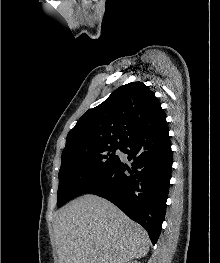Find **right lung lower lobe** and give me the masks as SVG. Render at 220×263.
<instances>
[{"label":"right lung lower lobe","mask_w":220,"mask_h":263,"mask_svg":"<svg viewBox=\"0 0 220 263\" xmlns=\"http://www.w3.org/2000/svg\"><path fill=\"white\" fill-rule=\"evenodd\" d=\"M168 131L131 141L122 148L128 160H133L131 167L120 160L81 192L111 201L148 231L153 245L160 235L170 186L173 160Z\"/></svg>","instance_id":"obj_1"}]
</instances>
